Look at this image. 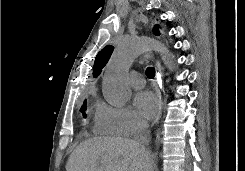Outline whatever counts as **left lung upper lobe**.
Instances as JSON below:
<instances>
[{
  "label": "left lung upper lobe",
  "mask_w": 245,
  "mask_h": 171,
  "mask_svg": "<svg viewBox=\"0 0 245 171\" xmlns=\"http://www.w3.org/2000/svg\"><path fill=\"white\" fill-rule=\"evenodd\" d=\"M153 32L156 35L160 34L158 25H155V27L153 28ZM113 49V46L107 45L97 54L93 68V76L95 78L101 73L102 68H104V66L107 64L108 60L111 57Z\"/></svg>",
  "instance_id": "obj_1"
}]
</instances>
